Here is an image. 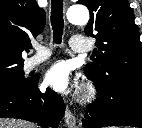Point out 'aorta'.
Listing matches in <instances>:
<instances>
[{
	"instance_id": "obj_1",
	"label": "aorta",
	"mask_w": 142,
	"mask_h": 128,
	"mask_svg": "<svg viewBox=\"0 0 142 128\" xmlns=\"http://www.w3.org/2000/svg\"><path fill=\"white\" fill-rule=\"evenodd\" d=\"M67 19L74 25H85L89 21V12L84 6H74L68 9Z\"/></svg>"
}]
</instances>
